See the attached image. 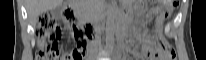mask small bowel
<instances>
[{
	"label": "small bowel",
	"mask_w": 206,
	"mask_h": 60,
	"mask_svg": "<svg viewBox=\"0 0 206 60\" xmlns=\"http://www.w3.org/2000/svg\"><path fill=\"white\" fill-rule=\"evenodd\" d=\"M161 23H162V19H158L157 24L160 25Z\"/></svg>",
	"instance_id": "small-bowel-1"
}]
</instances>
